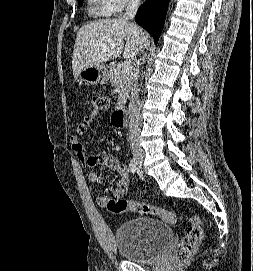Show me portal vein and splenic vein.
<instances>
[{
	"label": "portal vein and splenic vein",
	"instance_id": "18ae733b",
	"mask_svg": "<svg viewBox=\"0 0 253 271\" xmlns=\"http://www.w3.org/2000/svg\"><path fill=\"white\" fill-rule=\"evenodd\" d=\"M132 63L129 61H126L122 64V72L123 73H129L130 71H132Z\"/></svg>",
	"mask_w": 253,
	"mask_h": 271
}]
</instances>
